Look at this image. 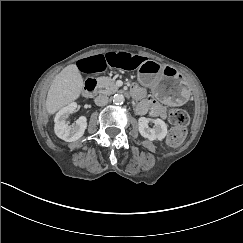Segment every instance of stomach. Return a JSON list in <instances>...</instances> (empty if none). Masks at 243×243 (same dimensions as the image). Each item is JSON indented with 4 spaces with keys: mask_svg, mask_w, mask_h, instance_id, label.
<instances>
[{
    "mask_svg": "<svg viewBox=\"0 0 243 243\" xmlns=\"http://www.w3.org/2000/svg\"><path fill=\"white\" fill-rule=\"evenodd\" d=\"M137 77L140 84L150 88L166 105L180 106L190 97L187 82L172 66L148 60L139 68Z\"/></svg>",
    "mask_w": 243,
    "mask_h": 243,
    "instance_id": "1",
    "label": "stomach"
}]
</instances>
